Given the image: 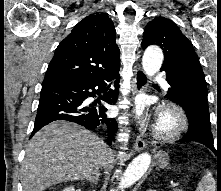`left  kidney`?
<instances>
[{
    "label": "left kidney",
    "mask_w": 221,
    "mask_h": 191,
    "mask_svg": "<svg viewBox=\"0 0 221 191\" xmlns=\"http://www.w3.org/2000/svg\"><path fill=\"white\" fill-rule=\"evenodd\" d=\"M147 191H155V190H147Z\"/></svg>",
    "instance_id": "obj_1"
}]
</instances>
